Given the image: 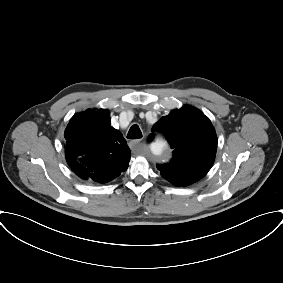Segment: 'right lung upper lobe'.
I'll use <instances>...</instances> for the list:
<instances>
[{"label":"right lung upper lobe","instance_id":"cb5924a9","mask_svg":"<svg viewBox=\"0 0 283 283\" xmlns=\"http://www.w3.org/2000/svg\"><path fill=\"white\" fill-rule=\"evenodd\" d=\"M64 136L67 162L80 177L107 183L128 168L130 149L121 132L110 126L107 110L73 116Z\"/></svg>","mask_w":283,"mask_h":283}]
</instances>
